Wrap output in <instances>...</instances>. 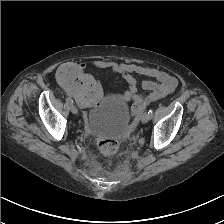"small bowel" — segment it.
<instances>
[{
    "label": "small bowel",
    "instance_id": "c3829d8e",
    "mask_svg": "<svg viewBox=\"0 0 224 224\" xmlns=\"http://www.w3.org/2000/svg\"><path fill=\"white\" fill-rule=\"evenodd\" d=\"M91 65L100 69H111L122 76L127 83V90L121 96L125 102L131 100L138 102L143 99V96L137 93V81L134 74L155 79V81L145 80L142 83L143 89L149 91V96L153 100L166 97L173 93L178 84L174 76L154 67L133 63H117L103 59L94 60L91 62Z\"/></svg>",
    "mask_w": 224,
    "mask_h": 224
}]
</instances>
